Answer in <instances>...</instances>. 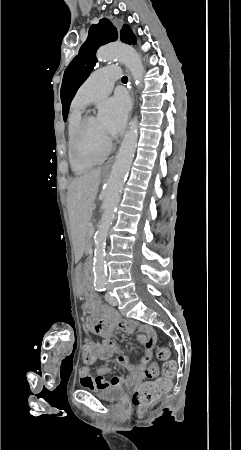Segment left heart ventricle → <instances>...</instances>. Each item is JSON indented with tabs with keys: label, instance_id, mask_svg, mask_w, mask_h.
Wrapping results in <instances>:
<instances>
[{
	"label": "left heart ventricle",
	"instance_id": "obj_1",
	"mask_svg": "<svg viewBox=\"0 0 241 450\" xmlns=\"http://www.w3.org/2000/svg\"><path fill=\"white\" fill-rule=\"evenodd\" d=\"M111 141L112 136L104 121H86L79 147L80 152L85 155L82 158L83 165L93 169L95 162L92 157H105L110 150Z\"/></svg>",
	"mask_w": 241,
	"mask_h": 450
}]
</instances>
